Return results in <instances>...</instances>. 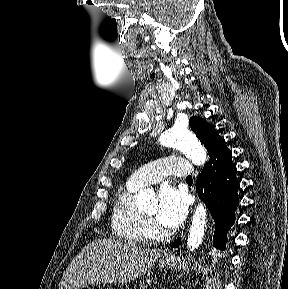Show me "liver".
<instances>
[{
  "mask_svg": "<svg viewBox=\"0 0 288 289\" xmlns=\"http://www.w3.org/2000/svg\"><path fill=\"white\" fill-rule=\"evenodd\" d=\"M161 251L133 243L101 238L89 243L67 267L59 289H79L87 285L136 280L150 269Z\"/></svg>",
  "mask_w": 288,
  "mask_h": 289,
  "instance_id": "6515ba94",
  "label": "liver"
}]
</instances>
